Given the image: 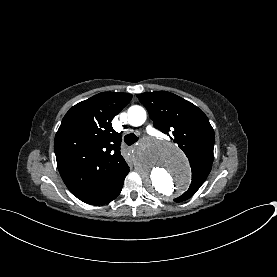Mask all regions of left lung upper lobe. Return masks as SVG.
I'll list each match as a JSON object with an SVG mask.
<instances>
[{
  "label": "left lung upper lobe",
  "mask_w": 277,
  "mask_h": 277,
  "mask_svg": "<svg viewBox=\"0 0 277 277\" xmlns=\"http://www.w3.org/2000/svg\"><path fill=\"white\" fill-rule=\"evenodd\" d=\"M147 108L153 124L163 133L172 131L174 143L188 157L192 169V183L176 202L189 199L209 175L213 163L214 130L205 113L189 101L167 91L138 94Z\"/></svg>",
  "instance_id": "obj_1"
}]
</instances>
